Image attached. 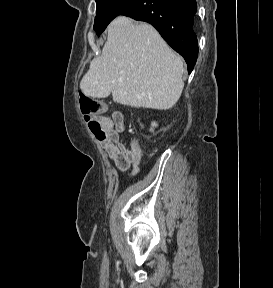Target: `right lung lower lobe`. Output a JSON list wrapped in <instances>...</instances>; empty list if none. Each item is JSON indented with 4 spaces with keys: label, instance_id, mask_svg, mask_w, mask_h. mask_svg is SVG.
Here are the masks:
<instances>
[{
    "label": "right lung lower lobe",
    "instance_id": "98d812e1",
    "mask_svg": "<svg viewBox=\"0 0 273 288\" xmlns=\"http://www.w3.org/2000/svg\"><path fill=\"white\" fill-rule=\"evenodd\" d=\"M196 0H137L121 15L153 25L164 40L179 54L192 72L198 56L194 32Z\"/></svg>",
    "mask_w": 273,
    "mask_h": 288
}]
</instances>
